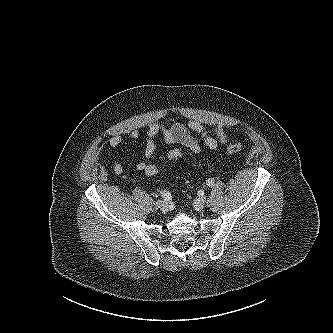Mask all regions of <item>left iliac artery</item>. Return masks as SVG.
<instances>
[{
  "label": "left iliac artery",
  "mask_w": 333,
  "mask_h": 333,
  "mask_svg": "<svg viewBox=\"0 0 333 333\" xmlns=\"http://www.w3.org/2000/svg\"><path fill=\"white\" fill-rule=\"evenodd\" d=\"M206 184H207V186H209V187H212V186H214L215 185V181H214V179H208L207 181H206Z\"/></svg>",
  "instance_id": "left-iliac-artery-1"
}]
</instances>
